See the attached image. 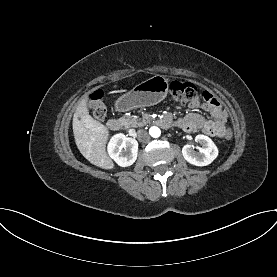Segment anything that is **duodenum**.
<instances>
[{"label":"duodenum","instance_id":"1","mask_svg":"<svg viewBox=\"0 0 277 277\" xmlns=\"http://www.w3.org/2000/svg\"><path fill=\"white\" fill-rule=\"evenodd\" d=\"M161 123L164 124L165 121L161 120ZM122 125H123L122 121L117 118L109 119L107 122L108 129H110L112 131H117V130L121 129Z\"/></svg>","mask_w":277,"mask_h":277}]
</instances>
